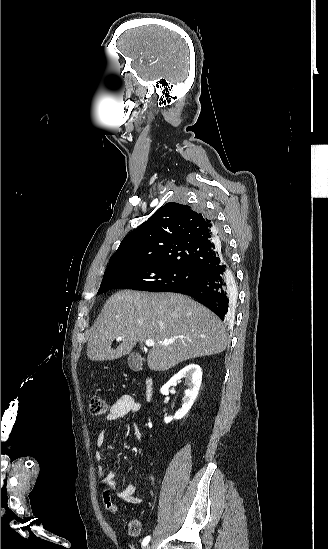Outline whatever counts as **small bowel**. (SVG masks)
<instances>
[{
    "mask_svg": "<svg viewBox=\"0 0 328 549\" xmlns=\"http://www.w3.org/2000/svg\"><path fill=\"white\" fill-rule=\"evenodd\" d=\"M140 409H141L140 403H138L132 396L122 395L110 407L106 420L108 423H112L124 418L126 415L130 413H138ZM106 437H107V430L102 429L98 433L95 441V448H96L95 460L99 463H101L103 460V454L100 451V448L104 444ZM137 437L139 440H141V435L139 432H137ZM97 473L102 478V483L108 488L114 490L116 496L119 499L123 500L124 502L128 504H139L144 501L142 497L136 495V491H137L136 485H129L127 487L120 488L117 484L116 474L114 471H107L102 465H99L97 468ZM146 477L149 479L151 484H154L155 476L152 472L150 471L147 472Z\"/></svg>",
    "mask_w": 328,
    "mask_h": 549,
    "instance_id": "1",
    "label": "small bowel"
}]
</instances>
